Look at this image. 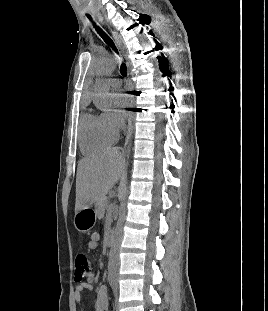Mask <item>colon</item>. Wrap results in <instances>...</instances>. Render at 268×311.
Listing matches in <instances>:
<instances>
[{"instance_id":"5ec220e1","label":"colon","mask_w":268,"mask_h":311,"mask_svg":"<svg viewBox=\"0 0 268 311\" xmlns=\"http://www.w3.org/2000/svg\"><path fill=\"white\" fill-rule=\"evenodd\" d=\"M90 273V263L87 256L79 253L75 257V280L81 281Z\"/></svg>"}]
</instances>
